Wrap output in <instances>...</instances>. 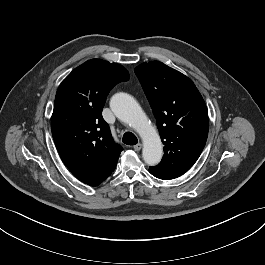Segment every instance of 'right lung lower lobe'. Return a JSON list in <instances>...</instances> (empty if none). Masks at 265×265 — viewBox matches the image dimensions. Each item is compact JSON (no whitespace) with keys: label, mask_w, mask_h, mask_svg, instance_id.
Masks as SVG:
<instances>
[{"label":"right lung lower lobe","mask_w":265,"mask_h":265,"mask_svg":"<svg viewBox=\"0 0 265 265\" xmlns=\"http://www.w3.org/2000/svg\"><path fill=\"white\" fill-rule=\"evenodd\" d=\"M117 161L113 162L111 165L106 167L103 172L94 178H80L79 180L82 181L85 184H88L90 186H98L100 183H102L107 177L111 175V173L114 171L116 167Z\"/></svg>","instance_id":"obj_1"}]
</instances>
